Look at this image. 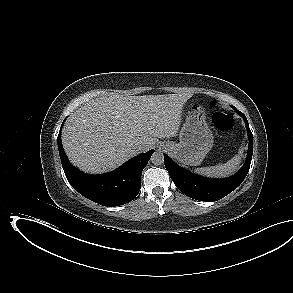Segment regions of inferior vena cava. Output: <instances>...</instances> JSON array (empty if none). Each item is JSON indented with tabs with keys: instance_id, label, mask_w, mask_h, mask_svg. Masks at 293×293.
Wrapping results in <instances>:
<instances>
[{
	"instance_id": "obj_1",
	"label": "inferior vena cava",
	"mask_w": 293,
	"mask_h": 293,
	"mask_svg": "<svg viewBox=\"0 0 293 293\" xmlns=\"http://www.w3.org/2000/svg\"><path fill=\"white\" fill-rule=\"evenodd\" d=\"M138 149L140 151L148 150V147H143L142 145H138Z\"/></svg>"
}]
</instances>
